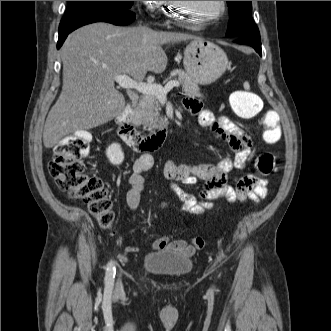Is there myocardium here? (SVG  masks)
<instances>
[{"mask_svg": "<svg viewBox=\"0 0 331 331\" xmlns=\"http://www.w3.org/2000/svg\"><path fill=\"white\" fill-rule=\"evenodd\" d=\"M219 2V10L212 16L207 17L205 19L200 20L199 22H192V21H188V20H184L182 19L179 14L177 13V11L179 10L178 6H180L181 4H183L182 1H168L169 7H168V12H167V16L169 17V19L180 26H187V25H191V26H201V25H205L211 21H214L216 19L221 18L226 10V4L225 1H218Z\"/></svg>", "mask_w": 331, "mask_h": 331, "instance_id": "myocardium-1", "label": "myocardium"}]
</instances>
